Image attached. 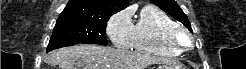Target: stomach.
I'll return each mask as SVG.
<instances>
[{
	"label": "stomach",
	"mask_w": 246,
	"mask_h": 69,
	"mask_svg": "<svg viewBox=\"0 0 246 69\" xmlns=\"http://www.w3.org/2000/svg\"><path fill=\"white\" fill-rule=\"evenodd\" d=\"M157 69H186L182 65L166 63L164 65H160Z\"/></svg>",
	"instance_id": "stomach-1"
}]
</instances>
